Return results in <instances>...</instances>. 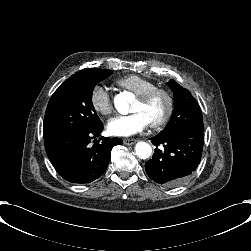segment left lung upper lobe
Returning a JSON list of instances; mask_svg holds the SVG:
<instances>
[{"label": "left lung upper lobe", "instance_id": "obj_1", "mask_svg": "<svg viewBox=\"0 0 251 251\" xmlns=\"http://www.w3.org/2000/svg\"><path fill=\"white\" fill-rule=\"evenodd\" d=\"M168 85L174 93V111L166 128L158 134L165 137L184 130L204 131L201 109L190 91L170 80Z\"/></svg>", "mask_w": 251, "mask_h": 251}]
</instances>
